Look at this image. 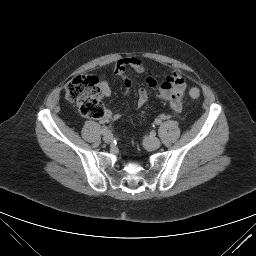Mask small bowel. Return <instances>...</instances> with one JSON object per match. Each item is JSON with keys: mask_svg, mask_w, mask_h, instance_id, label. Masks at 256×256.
<instances>
[{"mask_svg": "<svg viewBox=\"0 0 256 256\" xmlns=\"http://www.w3.org/2000/svg\"><path fill=\"white\" fill-rule=\"evenodd\" d=\"M128 68H132L138 73H143L146 70L143 61L136 57L123 58L117 62L115 66V74L123 78L126 94L130 93L132 87L130 79L126 76V70ZM147 84L149 87L158 90V98L168 102L174 112L179 113L181 111L182 100L187 85L184 77L179 71H173L161 83H158L154 78L149 77L147 78ZM100 87L102 97H109L111 95V88L106 80H101ZM147 100V89L140 88L137 92V105L141 107L147 102ZM120 118L121 114H113L110 111H106L105 116L102 118V122L107 123L112 120H119Z\"/></svg>", "mask_w": 256, "mask_h": 256, "instance_id": "obj_1", "label": "small bowel"}]
</instances>
